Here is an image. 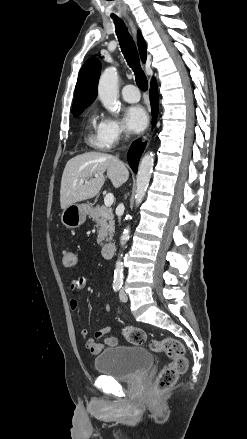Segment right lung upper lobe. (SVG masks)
Segmentation results:
<instances>
[{
  "label": "right lung upper lobe",
  "instance_id": "1",
  "mask_svg": "<svg viewBox=\"0 0 247 439\" xmlns=\"http://www.w3.org/2000/svg\"><path fill=\"white\" fill-rule=\"evenodd\" d=\"M138 46L141 59L146 61V43L138 32ZM101 63L94 58L88 59L82 66L75 87L72 113L87 108L97 96V83L100 76Z\"/></svg>",
  "mask_w": 247,
  "mask_h": 439
}]
</instances>
